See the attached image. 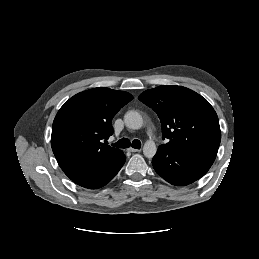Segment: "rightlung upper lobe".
<instances>
[{
    "instance_id": "cb5924a9",
    "label": "right lung upper lobe",
    "mask_w": 259,
    "mask_h": 259,
    "mask_svg": "<svg viewBox=\"0 0 259 259\" xmlns=\"http://www.w3.org/2000/svg\"><path fill=\"white\" fill-rule=\"evenodd\" d=\"M132 99L127 92L99 87L74 95L60 108L51 146L65 173L89 169L121 152L103 141L113 134L112 118Z\"/></svg>"
}]
</instances>
